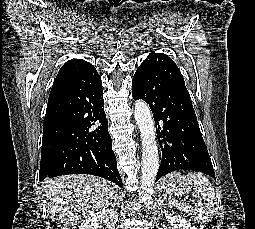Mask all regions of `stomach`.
<instances>
[{
	"mask_svg": "<svg viewBox=\"0 0 255 229\" xmlns=\"http://www.w3.org/2000/svg\"><path fill=\"white\" fill-rule=\"evenodd\" d=\"M192 181L179 172H172L161 179L159 189L163 191L169 198L174 196H182L190 192Z\"/></svg>",
	"mask_w": 255,
	"mask_h": 229,
	"instance_id": "0dacf381",
	"label": "stomach"
}]
</instances>
